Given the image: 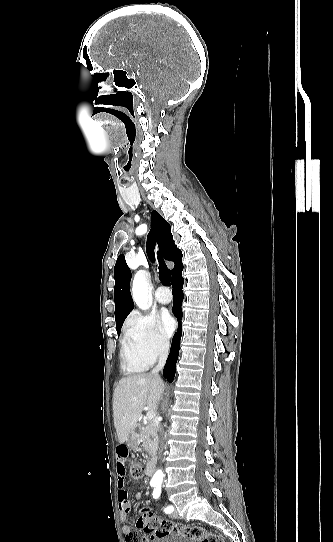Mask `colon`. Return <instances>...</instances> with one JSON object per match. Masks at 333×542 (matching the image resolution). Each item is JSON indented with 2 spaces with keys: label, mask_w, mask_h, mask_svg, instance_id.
<instances>
[{
  "label": "colon",
  "mask_w": 333,
  "mask_h": 542,
  "mask_svg": "<svg viewBox=\"0 0 333 542\" xmlns=\"http://www.w3.org/2000/svg\"><path fill=\"white\" fill-rule=\"evenodd\" d=\"M130 465L131 475L134 479H140L145 475L146 467L144 464L131 460ZM146 507H149V504H146ZM136 525L138 528L143 529L144 534H151L154 531V537L159 539L174 536L193 542H231L230 536H220L198 525L191 526L161 519L148 510H142L137 514ZM141 537L139 531H129L127 533V542H145V535H143L142 539Z\"/></svg>",
  "instance_id": "5ec220e1"
}]
</instances>
